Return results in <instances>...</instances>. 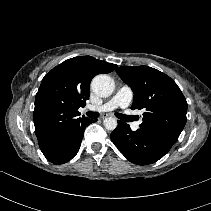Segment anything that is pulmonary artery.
Instances as JSON below:
<instances>
[{
  "label": "pulmonary artery",
  "mask_w": 211,
  "mask_h": 211,
  "mask_svg": "<svg viewBox=\"0 0 211 211\" xmlns=\"http://www.w3.org/2000/svg\"><path fill=\"white\" fill-rule=\"evenodd\" d=\"M132 99V89L128 86H122L108 102L99 107L89 106L88 109L91 111H112L116 108H126L131 103ZM132 128L137 130L139 128V123H134Z\"/></svg>",
  "instance_id": "e3ab8cb5"
}]
</instances>
